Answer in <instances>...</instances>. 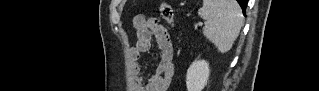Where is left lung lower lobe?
<instances>
[{
	"instance_id": "obj_1",
	"label": "left lung lower lobe",
	"mask_w": 319,
	"mask_h": 91,
	"mask_svg": "<svg viewBox=\"0 0 319 91\" xmlns=\"http://www.w3.org/2000/svg\"><path fill=\"white\" fill-rule=\"evenodd\" d=\"M237 2L240 4L242 11H243V14L245 15L248 0H237Z\"/></svg>"
}]
</instances>
